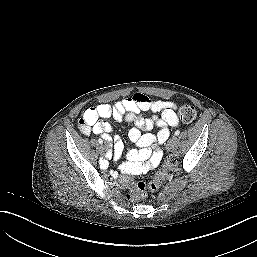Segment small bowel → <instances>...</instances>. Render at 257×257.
Masks as SVG:
<instances>
[{"label":"small bowel","mask_w":257,"mask_h":257,"mask_svg":"<svg viewBox=\"0 0 257 257\" xmlns=\"http://www.w3.org/2000/svg\"><path fill=\"white\" fill-rule=\"evenodd\" d=\"M175 109L173 102L152 100L142 93H136L114 104L105 102L87 108L82 114L79 128L86 135L94 133L102 136L112 145V153L109 156H113L117 161L125 155V149L119 137L109 135L112 126L108 119L132 123L133 127L129 130L128 137L139 150L127 153L130 162L122 166V171L144 173L159 164L162 158L159 145L168 139L169 128L179 125ZM142 112H152L153 116L145 118ZM153 128L158 129L157 134L142 133Z\"/></svg>","instance_id":"small-bowel-1"}]
</instances>
